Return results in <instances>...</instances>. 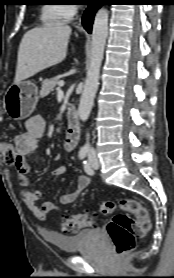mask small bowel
Instances as JSON below:
<instances>
[{
  "instance_id": "obj_1",
  "label": "small bowel",
  "mask_w": 174,
  "mask_h": 278,
  "mask_svg": "<svg viewBox=\"0 0 174 278\" xmlns=\"http://www.w3.org/2000/svg\"><path fill=\"white\" fill-rule=\"evenodd\" d=\"M45 131V121L40 115L30 117L25 123V131L15 138L16 159L13 163L17 171V178L21 187L29 185L28 173L30 170L27 158L31 156L37 149L39 140ZM66 172L65 166L57 167L53 172V176H61ZM91 183V177L81 175L77 179L76 189L72 192L65 193L61 196L62 204H71L80 193L86 189ZM42 192L40 189L31 191H21V197L25 207L37 218L46 220L47 215L57 211L58 206L51 201H45L40 206L37 201L40 200Z\"/></svg>"
}]
</instances>
